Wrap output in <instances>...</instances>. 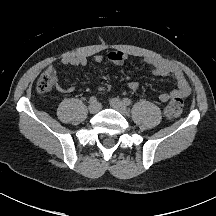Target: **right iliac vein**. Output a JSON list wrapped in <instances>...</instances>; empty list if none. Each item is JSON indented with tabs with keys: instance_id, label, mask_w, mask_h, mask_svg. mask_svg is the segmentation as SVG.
Listing matches in <instances>:
<instances>
[{
	"instance_id": "1",
	"label": "right iliac vein",
	"mask_w": 216,
	"mask_h": 216,
	"mask_svg": "<svg viewBox=\"0 0 216 216\" xmlns=\"http://www.w3.org/2000/svg\"><path fill=\"white\" fill-rule=\"evenodd\" d=\"M101 106L99 103L90 104L88 109L91 114H95L100 110Z\"/></svg>"
}]
</instances>
